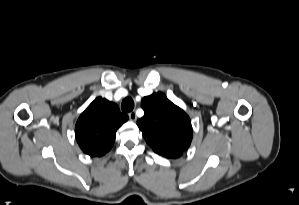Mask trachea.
Here are the masks:
<instances>
[{
	"label": "trachea",
	"instance_id": "obj_1",
	"mask_svg": "<svg viewBox=\"0 0 299 205\" xmlns=\"http://www.w3.org/2000/svg\"><path fill=\"white\" fill-rule=\"evenodd\" d=\"M121 108L124 112H130L134 108V101L131 97H126L121 105Z\"/></svg>",
	"mask_w": 299,
	"mask_h": 205
}]
</instances>
